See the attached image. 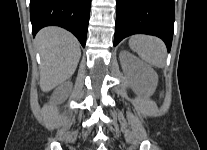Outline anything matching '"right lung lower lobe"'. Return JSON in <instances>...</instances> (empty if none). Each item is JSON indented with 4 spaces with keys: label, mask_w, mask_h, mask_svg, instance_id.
Listing matches in <instances>:
<instances>
[{
    "label": "right lung lower lobe",
    "mask_w": 207,
    "mask_h": 150,
    "mask_svg": "<svg viewBox=\"0 0 207 150\" xmlns=\"http://www.w3.org/2000/svg\"><path fill=\"white\" fill-rule=\"evenodd\" d=\"M91 0H30L33 35L55 25L72 32L85 47Z\"/></svg>",
    "instance_id": "98d812e1"
}]
</instances>
